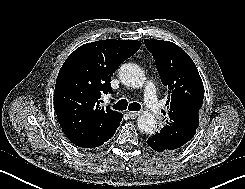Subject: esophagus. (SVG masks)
I'll list each match as a JSON object with an SVG mask.
<instances>
[{
    "label": "esophagus",
    "mask_w": 245,
    "mask_h": 189,
    "mask_svg": "<svg viewBox=\"0 0 245 189\" xmlns=\"http://www.w3.org/2000/svg\"><path fill=\"white\" fill-rule=\"evenodd\" d=\"M128 115L130 116V118L135 119L140 116V112L129 111Z\"/></svg>",
    "instance_id": "obj_1"
}]
</instances>
